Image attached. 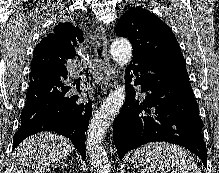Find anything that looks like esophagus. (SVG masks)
<instances>
[{"label":"esophagus","instance_id":"1","mask_svg":"<svg viewBox=\"0 0 219 173\" xmlns=\"http://www.w3.org/2000/svg\"><path fill=\"white\" fill-rule=\"evenodd\" d=\"M92 44L95 53V60L100 69L99 80L102 84H108L114 74L107 51V39L105 29L99 26L92 35Z\"/></svg>","mask_w":219,"mask_h":173}]
</instances>
